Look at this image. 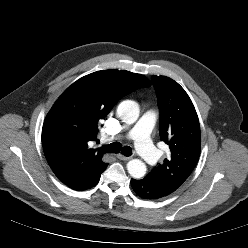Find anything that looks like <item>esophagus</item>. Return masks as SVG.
<instances>
[{
	"label": "esophagus",
	"mask_w": 248,
	"mask_h": 248,
	"mask_svg": "<svg viewBox=\"0 0 248 248\" xmlns=\"http://www.w3.org/2000/svg\"><path fill=\"white\" fill-rule=\"evenodd\" d=\"M117 158L120 159V160H123V161H128V160L131 159V157H126V156H124L122 154H118Z\"/></svg>",
	"instance_id": "34e87169"
}]
</instances>
